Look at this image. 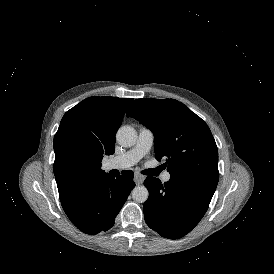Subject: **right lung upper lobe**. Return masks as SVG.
Instances as JSON below:
<instances>
[{
	"instance_id": "cb5924a9",
	"label": "right lung upper lobe",
	"mask_w": 274,
	"mask_h": 274,
	"mask_svg": "<svg viewBox=\"0 0 274 274\" xmlns=\"http://www.w3.org/2000/svg\"><path fill=\"white\" fill-rule=\"evenodd\" d=\"M132 101L93 96L65 113L54 136V175L60 201L105 173L101 161L114 153L116 132Z\"/></svg>"
}]
</instances>
